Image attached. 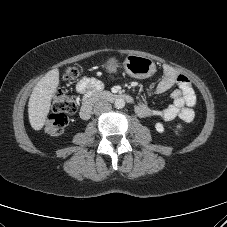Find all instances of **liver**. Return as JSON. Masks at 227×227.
I'll list each match as a JSON object with an SVG mask.
<instances>
[{"label": "liver", "instance_id": "obj_1", "mask_svg": "<svg viewBox=\"0 0 227 227\" xmlns=\"http://www.w3.org/2000/svg\"><path fill=\"white\" fill-rule=\"evenodd\" d=\"M59 85V71L53 69L47 72L33 88L29 103L28 115L31 127L39 131L46 122L51 100Z\"/></svg>", "mask_w": 227, "mask_h": 227}]
</instances>
